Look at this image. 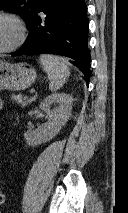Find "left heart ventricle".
<instances>
[{
    "label": "left heart ventricle",
    "mask_w": 128,
    "mask_h": 213,
    "mask_svg": "<svg viewBox=\"0 0 128 213\" xmlns=\"http://www.w3.org/2000/svg\"><path fill=\"white\" fill-rule=\"evenodd\" d=\"M17 38V29L12 21L0 18V49L10 46Z\"/></svg>",
    "instance_id": "obj_1"
}]
</instances>
